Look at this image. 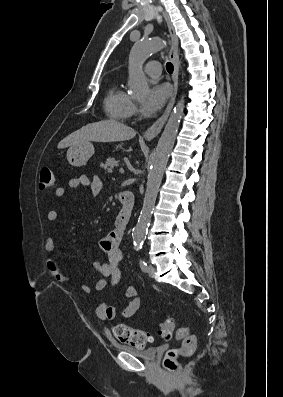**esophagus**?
Wrapping results in <instances>:
<instances>
[{"label": "esophagus", "instance_id": "obj_1", "mask_svg": "<svg viewBox=\"0 0 283 397\" xmlns=\"http://www.w3.org/2000/svg\"><path fill=\"white\" fill-rule=\"evenodd\" d=\"M162 13H163L165 21L167 23L169 35H170V39H171V50L169 53V58H170L171 62L173 63V67H174V72H173V76H172V78H173V94L171 96V99H170L164 113L144 133V138L146 140H152L153 138L158 136V134L162 130V128H163L165 122L167 121L168 116L173 108V105L175 103V99H176L177 91H178V84H179V82H178V76H179L178 38H177L174 27H173L168 15L164 11H162Z\"/></svg>", "mask_w": 283, "mask_h": 397}]
</instances>
